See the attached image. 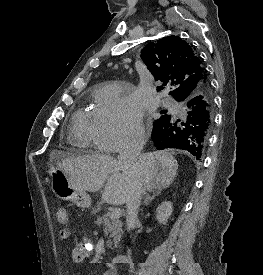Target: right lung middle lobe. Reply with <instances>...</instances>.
Listing matches in <instances>:
<instances>
[{
    "label": "right lung middle lobe",
    "mask_w": 263,
    "mask_h": 275,
    "mask_svg": "<svg viewBox=\"0 0 263 275\" xmlns=\"http://www.w3.org/2000/svg\"><path fill=\"white\" fill-rule=\"evenodd\" d=\"M166 113H167L166 110L162 111V114H164V115H162V116H166V115H167Z\"/></svg>",
    "instance_id": "obj_1"
}]
</instances>
